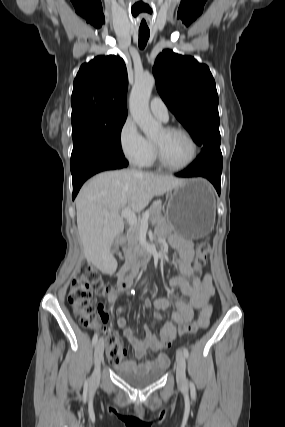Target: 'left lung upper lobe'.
I'll return each instance as SVG.
<instances>
[{
  "instance_id": "5c2ea615",
  "label": "left lung upper lobe",
  "mask_w": 285,
  "mask_h": 427,
  "mask_svg": "<svg viewBox=\"0 0 285 427\" xmlns=\"http://www.w3.org/2000/svg\"><path fill=\"white\" fill-rule=\"evenodd\" d=\"M153 73L160 96L202 152L220 151L218 94L208 66L164 50Z\"/></svg>"
}]
</instances>
